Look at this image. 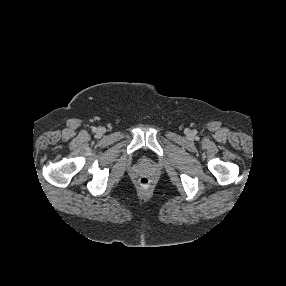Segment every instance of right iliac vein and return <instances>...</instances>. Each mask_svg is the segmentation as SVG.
<instances>
[{"label": "right iliac vein", "mask_w": 286, "mask_h": 286, "mask_svg": "<svg viewBox=\"0 0 286 286\" xmlns=\"http://www.w3.org/2000/svg\"><path fill=\"white\" fill-rule=\"evenodd\" d=\"M102 132H103L102 129H99V130H98V133H102Z\"/></svg>", "instance_id": "1"}]
</instances>
